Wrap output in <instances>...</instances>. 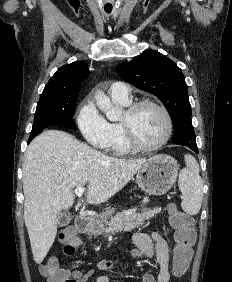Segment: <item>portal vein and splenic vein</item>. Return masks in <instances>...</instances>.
<instances>
[{
    "instance_id": "1",
    "label": "portal vein and splenic vein",
    "mask_w": 232,
    "mask_h": 282,
    "mask_svg": "<svg viewBox=\"0 0 232 282\" xmlns=\"http://www.w3.org/2000/svg\"><path fill=\"white\" fill-rule=\"evenodd\" d=\"M83 193H84V188H83V186H78V187H76V189H75V195H76L77 197H81V196L83 195Z\"/></svg>"
}]
</instances>
